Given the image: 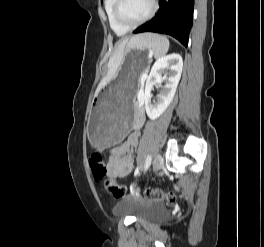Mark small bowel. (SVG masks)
<instances>
[{
  "mask_svg": "<svg viewBox=\"0 0 264 247\" xmlns=\"http://www.w3.org/2000/svg\"><path fill=\"white\" fill-rule=\"evenodd\" d=\"M144 122L143 114H139L133 122V130L126 140L112 149L108 158V176L111 179L123 178L133 169L134 160L130 150L135 148L139 140V128Z\"/></svg>",
  "mask_w": 264,
  "mask_h": 247,
  "instance_id": "c3829d8e",
  "label": "small bowel"
}]
</instances>
